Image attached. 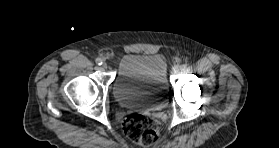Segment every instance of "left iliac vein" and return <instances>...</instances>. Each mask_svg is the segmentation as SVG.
<instances>
[{
  "label": "left iliac vein",
  "mask_w": 279,
  "mask_h": 148,
  "mask_svg": "<svg viewBox=\"0 0 279 148\" xmlns=\"http://www.w3.org/2000/svg\"><path fill=\"white\" fill-rule=\"evenodd\" d=\"M182 71L181 66L180 65H175L173 68V73L174 74H179Z\"/></svg>",
  "instance_id": "1"
}]
</instances>
